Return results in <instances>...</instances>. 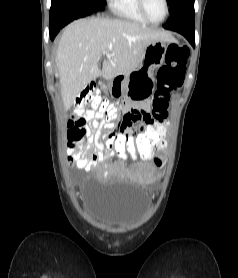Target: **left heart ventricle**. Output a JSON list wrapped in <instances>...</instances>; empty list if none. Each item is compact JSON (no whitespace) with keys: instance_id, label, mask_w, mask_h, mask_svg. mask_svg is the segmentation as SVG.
I'll return each mask as SVG.
<instances>
[{"instance_id":"1","label":"left heart ventricle","mask_w":238,"mask_h":278,"mask_svg":"<svg viewBox=\"0 0 238 278\" xmlns=\"http://www.w3.org/2000/svg\"><path fill=\"white\" fill-rule=\"evenodd\" d=\"M145 6L151 19L159 21L164 17L165 4L163 0H145Z\"/></svg>"}]
</instances>
